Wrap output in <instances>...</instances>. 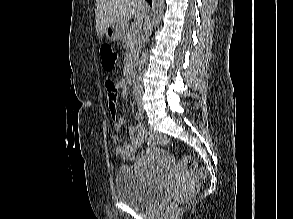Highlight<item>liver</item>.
Listing matches in <instances>:
<instances>
[{
	"instance_id": "obj_1",
	"label": "liver",
	"mask_w": 293,
	"mask_h": 219,
	"mask_svg": "<svg viewBox=\"0 0 293 219\" xmlns=\"http://www.w3.org/2000/svg\"><path fill=\"white\" fill-rule=\"evenodd\" d=\"M145 0H96L95 20L99 38L105 34L106 28L117 23L126 26L134 16L135 25L139 27L146 17Z\"/></svg>"
}]
</instances>
